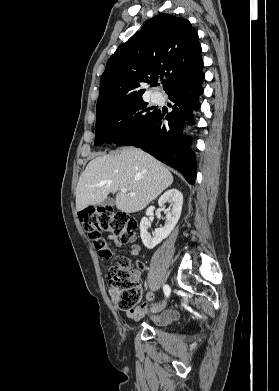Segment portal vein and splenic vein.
I'll return each instance as SVG.
<instances>
[{
    "label": "portal vein and splenic vein",
    "instance_id": "18ae733b",
    "mask_svg": "<svg viewBox=\"0 0 279 391\" xmlns=\"http://www.w3.org/2000/svg\"><path fill=\"white\" fill-rule=\"evenodd\" d=\"M120 190H121V192H123V193H127V192H128V190H127L126 188H120ZM130 195H131V196H135V193L131 192Z\"/></svg>",
    "mask_w": 279,
    "mask_h": 391
}]
</instances>
